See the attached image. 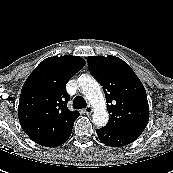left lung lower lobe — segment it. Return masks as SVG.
<instances>
[{
	"label": "left lung lower lobe",
	"mask_w": 173,
	"mask_h": 173,
	"mask_svg": "<svg viewBox=\"0 0 173 173\" xmlns=\"http://www.w3.org/2000/svg\"><path fill=\"white\" fill-rule=\"evenodd\" d=\"M98 138L102 143L111 147H120L134 142L137 138L119 133L107 127L96 130Z\"/></svg>",
	"instance_id": "left-lung-lower-lobe-1"
}]
</instances>
